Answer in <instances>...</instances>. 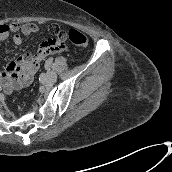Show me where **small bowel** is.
<instances>
[{
  "label": "small bowel",
  "mask_w": 172,
  "mask_h": 172,
  "mask_svg": "<svg viewBox=\"0 0 172 172\" xmlns=\"http://www.w3.org/2000/svg\"><path fill=\"white\" fill-rule=\"evenodd\" d=\"M27 28V31L25 29ZM50 28L59 29L57 25H52ZM39 30L35 24H19L11 23L0 25V42L8 39L10 33H14L12 41L15 45L23 43V35H30ZM66 50V45L63 41L58 42L54 39L42 42L35 54L26 53L20 56L12 66L8 76L14 81L15 88L27 86L33 79L34 74L39 68L40 62L48 55L56 54ZM2 75H0V79Z\"/></svg>",
  "instance_id": "c3829d8e"
}]
</instances>
